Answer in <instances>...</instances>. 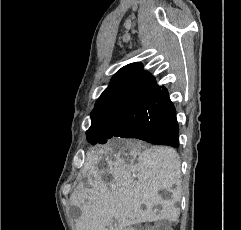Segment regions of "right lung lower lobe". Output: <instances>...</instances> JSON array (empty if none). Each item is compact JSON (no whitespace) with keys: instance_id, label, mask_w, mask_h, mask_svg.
Wrapping results in <instances>:
<instances>
[{"instance_id":"1","label":"right lung lower lobe","mask_w":241,"mask_h":230,"mask_svg":"<svg viewBox=\"0 0 241 230\" xmlns=\"http://www.w3.org/2000/svg\"><path fill=\"white\" fill-rule=\"evenodd\" d=\"M145 123L135 131V138L152 144L179 146L176 110L166 88H162L147 104Z\"/></svg>"}]
</instances>
